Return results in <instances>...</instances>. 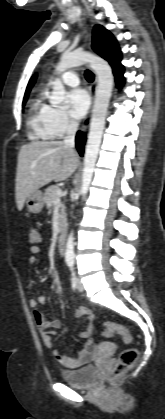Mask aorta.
Segmentation results:
<instances>
[{
	"label": "aorta",
	"mask_w": 165,
	"mask_h": 419,
	"mask_svg": "<svg viewBox=\"0 0 165 419\" xmlns=\"http://www.w3.org/2000/svg\"><path fill=\"white\" fill-rule=\"evenodd\" d=\"M88 63L95 71L98 85L92 110L90 130L84 156L82 184L80 194L85 198L92 181L95 164L102 140L107 109L113 89V74L110 65L102 58L84 51L65 52L56 67L57 73H62L69 68ZM65 98V87L59 78L53 82V91L49 96L52 106L60 105ZM75 259L73 232L68 236L65 247V261L73 264Z\"/></svg>",
	"instance_id": "obj_1"
}]
</instances>
